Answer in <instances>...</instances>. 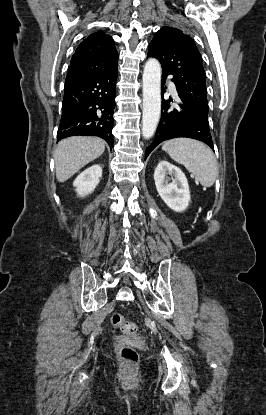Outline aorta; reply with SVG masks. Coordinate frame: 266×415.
<instances>
[{"label":"aorta","mask_w":266,"mask_h":415,"mask_svg":"<svg viewBox=\"0 0 266 415\" xmlns=\"http://www.w3.org/2000/svg\"><path fill=\"white\" fill-rule=\"evenodd\" d=\"M161 113V65L149 59L143 72L142 136L150 139L157 128Z\"/></svg>","instance_id":"aorta-1"}]
</instances>
